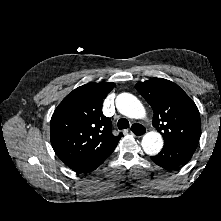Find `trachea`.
Returning a JSON list of instances; mask_svg holds the SVG:
<instances>
[{
  "instance_id": "1",
  "label": "trachea",
  "mask_w": 221,
  "mask_h": 221,
  "mask_svg": "<svg viewBox=\"0 0 221 221\" xmlns=\"http://www.w3.org/2000/svg\"><path fill=\"white\" fill-rule=\"evenodd\" d=\"M117 126L119 130L129 128V121L125 118H121L118 120Z\"/></svg>"
}]
</instances>
